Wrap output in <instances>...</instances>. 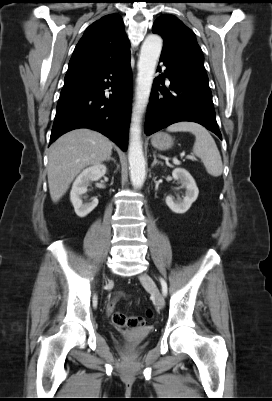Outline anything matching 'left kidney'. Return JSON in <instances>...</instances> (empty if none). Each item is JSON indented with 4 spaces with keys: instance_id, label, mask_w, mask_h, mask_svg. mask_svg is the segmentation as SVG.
Listing matches in <instances>:
<instances>
[{
    "instance_id": "obj_1",
    "label": "left kidney",
    "mask_w": 272,
    "mask_h": 401,
    "mask_svg": "<svg viewBox=\"0 0 272 401\" xmlns=\"http://www.w3.org/2000/svg\"><path fill=\"white\" fill-rule=\"evenodd\" d=\"M172 176L175 180L179 181L182 186L186 189V194L183 199L178 198L174 200L172 196L166 197L167 206L177 214H183L188 211L192 203L196 201L199 190L195 183V180L190 173L183 168H176L172 172Z\"/></svg>"
}]
</instances>
